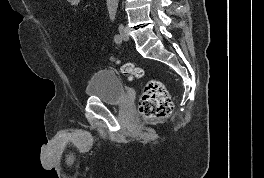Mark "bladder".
Listing matches in <instances>:
<instances>
[{"instance_id":"31cf9c89","label":"bladder","mask_w":264,"mask_h":178,"mask_svg":"<svg viewBox=\"0 0 264 178\" xmlns=\"http://www.w3.org/2000/svg\"><path fill=\"white\" fill-rule=\"evenodd\" d=\"M85 94L107 105L118 106L125 101V87L122 81L111 71L101 69L89 78Z\"/></svg>"}]
</instances>
